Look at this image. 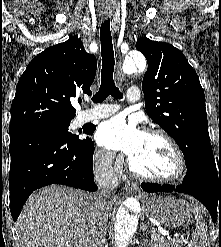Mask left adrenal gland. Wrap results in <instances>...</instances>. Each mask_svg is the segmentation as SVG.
Here are the masks:
<instances>
[{
	"mask_svg": "<svg viewBox=\"0 0 221 247\" xmlns=\"http://www.w3.org/2000/svg\"><path fill=\"white\" fill-rule=\"evenodd\" d=\"M148 224H149V222H147L146 224H144L143 227H142L143 235L145 237H147V238H148V235H149Z\"/></svg>",
	"mask_w": 221,
	"mask_h": 247,
	"instance_id": "obj_1",
	"label": "left adrenal gland"
}]
</instances>
